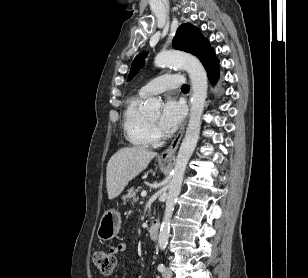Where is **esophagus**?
<instances>
[{
	"label": "esophagus",
	"mask_w": 308,
	"mask_h": 278,
	"mask_svg": "<svg viewBox=\"0 0 308 278\" xmlns=\"http://www.w3.org/2000/svg\"><path fill=\"white\" fill-rule=\"evenodd\" d=\"M189 106H190V101H189ZM186 124H187V120L184 122V124L182 125L181 129L179 130L177 135L172 140L169 147L161 153L160 159L162 161H171L174 158L177 152V149L179 147V144L181 142V139L184 135Z\"/></svg>",
	"instance_id": "esophagus-1"
}]
</instances>
